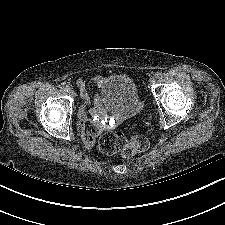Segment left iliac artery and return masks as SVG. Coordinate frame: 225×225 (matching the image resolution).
<instances>
[{"instance_id": "left-iliac-artery-1", "label": "left iliac artery", "mask_w": 225, "mask_h": 225, "mask_svg": "<svg viewBox=\"0 0 225 225\" xmlns=\"http://www.w3.org/2000/svg\"><path fill=\"white\" fill-rule=\"evenodd\" d=\"M162 76H163V75H162L161 72H157V73L155 74V77H156L157 79H160Z\"/></svg>"}]
</instances>
